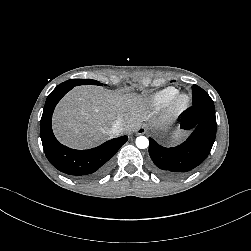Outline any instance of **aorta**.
<instances>
[{"mask_svg": "<svg viewBox=\"0 0 251 251\" xmlns=\"http://www.w3.org/2000/svg\"><path fill=\"white\" fill-rule=\"evenodd\" d=\"M148 139L145 136H138L136 138V146L138 148L144 149L148 147Z\"/></svg>", "mask_w": 251, "mask_h": 251, "instance_id": "aorta-1", "label": "aorta"}]
</instances>
